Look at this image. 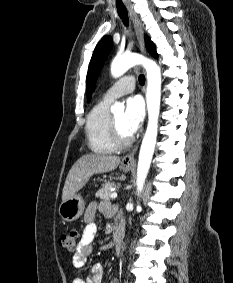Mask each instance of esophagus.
Wrapping results in <instances>:
<instances>
[{
  "label": "esophagus",
  "instance_id": "obj_1",
  "mask_svg": "<svg viewBox=\"0 0 233 283\" xmlns=\"http://www.w3.org/2000/svg\"><path fill=\"white\" fill-rule=\"evenodd\" d=\"M129 12H130V16L133 21V24H134V28H135L140 50L143 54H146L143 24L133 9H129ZM137 149H138V145H136L130 153H128L127 155L123 157L122 162L127 163V164L133 163Z\"/></svg>",
  "mask_w": 233,
  "mask_h": 283
}]
</instances>
